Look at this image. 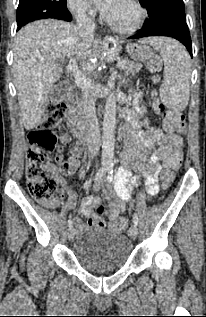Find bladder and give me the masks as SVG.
<instances>
[{
	"label": "bladder",
	"instance_id": "bladder-1",
	"mask_svg": "<svg viewBox=\"0 0 206 317\" xmlns=\"http://www.w3.org/2000/svg\"><path fill=\"white\" fill-rule=\"evenodd\" d=\"M73 254L86 270L113 271L126 264L132 254V244L120 232H87L75 241Z\"/></svg>",
	"mask_w": 206,
	"mask_h": 317
}]
</instances>
